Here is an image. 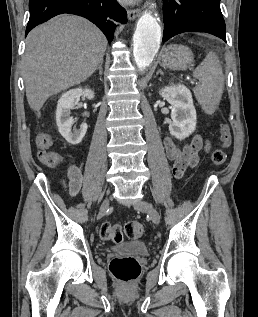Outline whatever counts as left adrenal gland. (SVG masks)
<instances>
[{
	"label": "left adrenal gland",
	"instance_id": "a2214340",
	"mask_svg": "<svg viewBox=\"0 0 258 317\" xmlns=\"http://www.w3.org/2000/svg\"><path fill=\"white\" fill-rule=\"evenodd\" d=\"M159 72L160 74H164L163 70H157L156 74H159Z\"/></svg>",
	"mask_w": 258,
	"mask_h": 317
}]
</instances>
